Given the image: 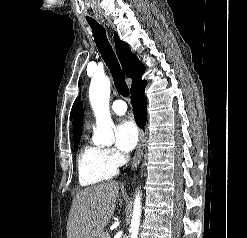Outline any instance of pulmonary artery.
Wrapping results in <instances>:
<instances>
[{
  "instance_id": "pulmonary-artery-1",
  "label": "pulmonary artery",
  "mask_w": 247,
  "mask_h": 238,
  "mask_svg": "<svg viewBox=\"0 0 247 238\" xmlns=\"http://www.w3.org/2000/svg\"><path fill=\"white\" fill-rule=\"evenodd\" d=\"M111 110L116 114H124L127 111V105L123 100H115L111 105Z\"/></svg>"
}]
</instances>
